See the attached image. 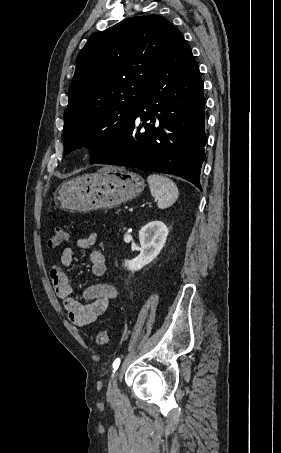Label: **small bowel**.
<instances>
[{"label":"small bowel","instance_id":"c3829d8e","mask_svg":"<svg viewBox=\"0 0 281 453\" xmlns=\"http://www.w3.org/2000/svg\"><path fill=\"white\" fill-rule=\"evenodd\" d=\"M98 237L97 232H92L88 237L77 240L79 250L88 252L90 256L89 272L94 277L104 276L106 266L104 255L93 248ZM74 262V252L71 248H66L61 255V263L53 264L50 269V278L54 284L56 295L63 301L65 311L72 323L77 326H86L93 323L102 315L109 304L117 299V290L109 285H95L83 289V299L89 302L82 305L77 299L72 297V287L65 269L70 268Z\"/></svg>","mask_w":281,"mask_h":453}]
</instances>
